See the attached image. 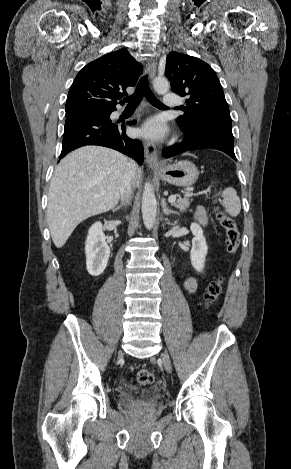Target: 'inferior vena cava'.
I'll use <instances>...</instances> for the list:
<instances>
[{
	"mask_svg": "<svg viewBox=\"0 0 291 469\" xmlns=\"http://www.w3.org/2000/svg\"><path fill=\"white\" fill-rule=\"evenodd\" d=\"M137 165L133 160H128L127 166H126V172L124 174L121 188H120V196H121V201L123 204H129L132 196H133V190L135 187V171H136Z\"/></svg>",
	"mask_w": 291,
	"mask_h": 469,
	"instance_id": "602c4592",
	"label": "inferior vena cava"
}]
</instances>
